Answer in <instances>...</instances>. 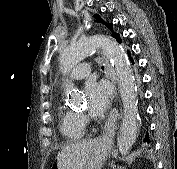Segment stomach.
Here are the masks:
<instances>
[{
  "mask_svg": "<svg viewBox=\"0 0 177 169\" xmlns=\"http://www.w3.org/2000/svg\"><path fill=\"white\" fill-rule=\"evenodd\" d=\"M110 150L111 144L109 142H99L92 151L91 156L83 169H101Z\"/></svg>",
  "mask_w": 177,
  "mask_h": 169,
  "instance_id": "0dacf381",
  "label": "stomach"
}]
</instances>
